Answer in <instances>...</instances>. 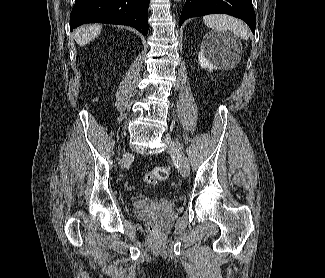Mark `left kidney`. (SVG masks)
Listing matches in <instances>:
<instances>
[{"instance_id":"5707ae66","label":"left kidney","mask_w":325,"mask_h":278,"mask_svg":"<svg viewBox=\"0 0 325 278\" xmlns=\"http://www.w3.org/2000/svg\"><path fill=\"white\" fill-rule=\"evenodd\" d=\"M225 45V40L220 36L210 35L206 37L201 44V50L198 55L200 66L210 71L217 70L220 57L229 53L225 52Z\"/></svg>"}]
</instances>
